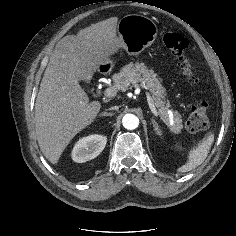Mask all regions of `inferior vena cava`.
Listing matches in <instances>:
<instances>
[{
	"label": "inferior vena cava",
	"mask_w": 236,
	"mask_h": 236,
	"mask_svg": "<svg viewBox=\"0 0 236 236\" xmlns=\"http://www.w3.org/2000/svg\"><path fill=\"white\" fill-rule=\"evenodd\" d=\"M119 109V106H112L111 108H110V110H118Z\"/></svg>",
	"instance_id": "obj_1"
}]
</instances>
